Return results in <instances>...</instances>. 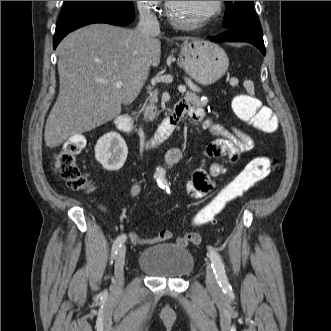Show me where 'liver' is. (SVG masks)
<instances>
[{
  "instance_id": "6515ba94",
  "label": "liver",
  "mask_w": 331,
  "mask_h": 331,
  "mask_svg": "<svg viewBox=\"0 0 331 331\" xmlns=\"http://www.w3.org/2000/svg\"><path fill=\"white\" fill-rule=\"evenodd\" d=\"M57 53L60 90L44 132L49 148L111 121L132 103L149 67L160 63L161 43L138 29L92 24L67 35Z\"/></svg>"
}]
</instances>
